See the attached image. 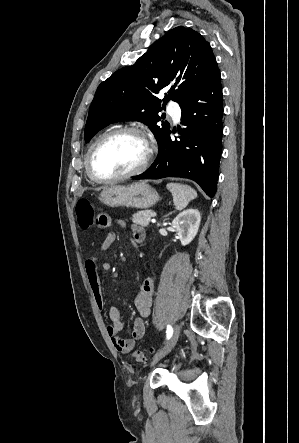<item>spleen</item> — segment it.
<instances>
[{
    "mask_svg": "<svg viewBox=\"0 0 299 443\" xmlns=\"http://www.w3.org/2000/svg\"><path fill=\"white\" fill-rule=\"evenodd\" d=\"M167 189L173 196V202L177 210H183L189 202L197 197V192L190 186L179 183H168Z\"/></svg>",
    "mask_w": 299,
    "mask_h": 443,
    "instance_id": "spleen-1",
    "label": "spleen"
}]
</instances>
